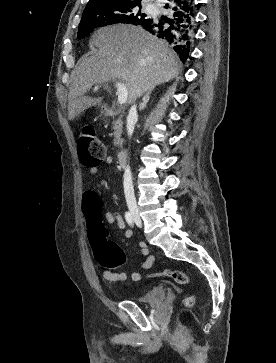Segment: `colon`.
Returning a JSON list of instances; mask_svg holds the SVG:
<instances>
[{
	"label": "colon",
	"mask_w": 276,
	"mask_h": 363,
	"mask_svg": "<svg viewBox=\"0 0 276 363\" xmlns=\"http://www.w3.org/2000/svg\"><path fill=\"white\" fill-rule=\"evenodd\" d=\"M79 153L83 163L87 166L100 164L106 156V150L102 141L93 129L84 127L79 136ZM89 237L93 247L94 258L104 268L114 269L125 263V254L118 244L107 240V229L97 217V211L87 210ZM162 275L170 277L180 285L189 282L187 274L177 269H164ZM194 297L188 296L184 299L182 307L188 310L194 305Z\"/></svg>",
	"instance_id": "obj_1"
}]
</instances>
